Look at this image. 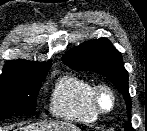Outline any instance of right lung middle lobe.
<instances>
[{"instance_id":"1","label":"right lung middle lobe","mask_w":147,"mask_h":131,"mask_svg":"<svg viewBox=\"0 0 147 131\" xmlns=\"http://www.w3.org/2000/svg\"><path fill=\"white\" fill-rule=\"evenodd\" d=\"M47 71L34 74L0 75V120L13 113L36 110L37 95Z\"/></svg>"}]
</instances>
